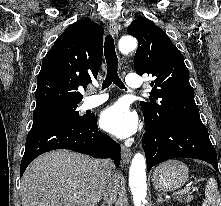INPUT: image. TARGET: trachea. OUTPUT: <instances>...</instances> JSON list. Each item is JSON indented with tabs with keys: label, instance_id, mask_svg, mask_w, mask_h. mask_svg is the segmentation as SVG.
Segmentation results:
<instances>
[{
	"label": "trachea",
	"instance_id": "1",
	"mask_svg": "<svg viewBox=\"0 0 221 206\" xmlns=\"http://www.w3.org/2000/svg\"><path fill=\"white\" fill-rule=\"evenodd\" d=\"M104 56L107 63V76L102 84L103 88H107L114 83L124 89V83L118 76V58L115 51L114 40L111 35H107L105 38Z\"/></svg>",
	"mask_w": 221,
	"mask_h": 206
}]
</instances>
